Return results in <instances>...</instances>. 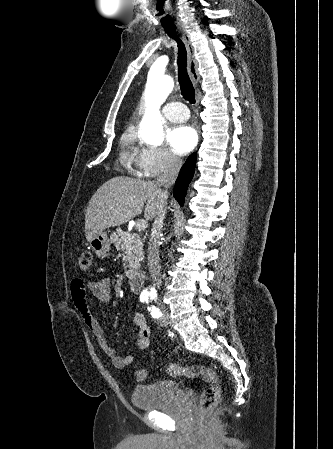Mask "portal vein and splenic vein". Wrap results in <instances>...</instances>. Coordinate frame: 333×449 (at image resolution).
Wrapping results in <instances>:
<instances>
[{
  "label": "portal vein and splenic vein",
  "instance_id": "portal-vein-and-splenic-vein-1",
  "mask_svg": "<svg viewBox=\"0 0 333 449\" xmlns=\"http://www.w3.org/2000/svg\"><path fill=\"white\" fill-rule=\"evenodd\" d=\"M135 227L138 230H144L145 228H147V222L145 220H140L135 224Z\"/></svg>",
  "mask_w": 333,
  "mask_h": 449
}]
</instances>
